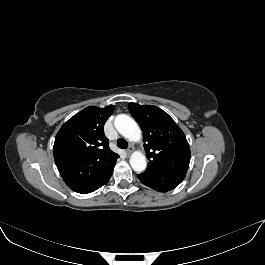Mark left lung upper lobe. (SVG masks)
<instances>
[{
  "mask_svg": "<svg viewBox=\"0 0 265 265\" xmlns=\"http://www.w3.org/2000/svg\"><path fill=\"white\" fill-rule=\"evenodd\" d=\"M129 110L143 131L146 171L163 174L187 173L190 148L183 131L162 109L130 103Z\"/></svg>",
  "mask_w": 265,
  "mask_h": 265,
  "instance_id": "5c2ea615",
  "label": "left lung upper lobe"
}]
</instances>
